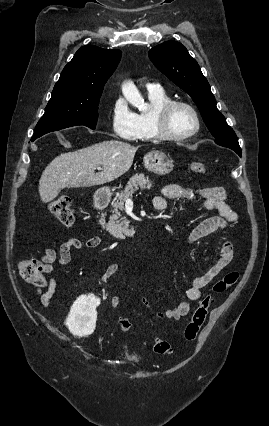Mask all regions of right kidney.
<instances>
[{"label": "right kidney", "mask_w": 269, "mask_h": 426, "mask_svg": "<svg viewBox=\"0 0 269 426\" xmlns=\"http://www.w3.org/2000/svg\"><path fill=\"white\" fill-rule=\"evenodd\" d=\"M98 300L92 296H83L75 301L66 319L70 332L78 337L92 334L96 327Z\"/></svg>", "instance_id": "obj_1"}]
</instances>
